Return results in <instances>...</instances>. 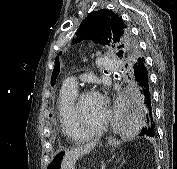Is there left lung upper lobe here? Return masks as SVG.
Masks as SVG:
<instances>
[{
	"mask_svg": "<svg viewBox=\"0 0 177 169\" xmlns=\"http://www.w3.org/2000/svg\"><path fill=\"white\" fill-rule=\"evenodd\" d=\"M76 34L77 37L72 41V44L83 39H90L103 45L115 44L118 49L117 55L128 63L141 56L136 42L131 37L129 27L118 14L108 9L91 12L80 24ZM56 77L57 74H52V85H54Z\"/></svg>",
	"mask_w": 177,
	"mask_h": 169,
	"instance_id": "1",
	"label": "left lung upper lobe"
}]
</instances>
